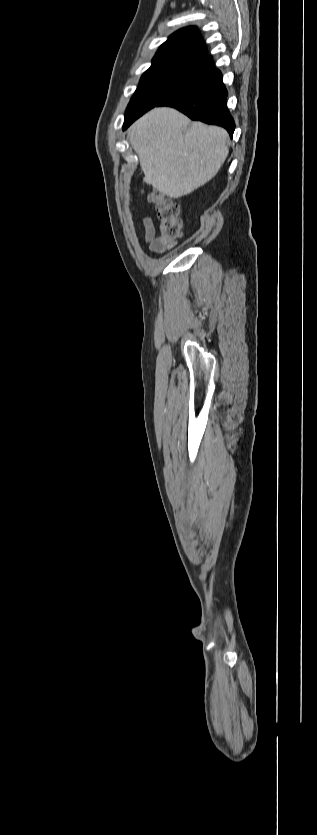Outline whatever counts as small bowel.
<instances>
[{
	"label": "small bowel",
	"mask_w": 317,
	"mask_h": 835,
	"mask_svg": "<svg viewBox=\"0 0 317 835\" xmlns=\"http://www.w3.org/2000/svg\"><path fill=\"white\" fill-rule=\"evenodd\" d=\"M144 225V237L147 242H150L151 249L153 251H162L163 247L161 246V237L156 236L155 227L153 221L149 217H145L143 219Z\"/></svg>",
	"instance_id": "obj_1"
}]
</instances>
